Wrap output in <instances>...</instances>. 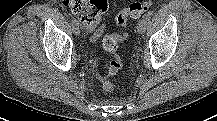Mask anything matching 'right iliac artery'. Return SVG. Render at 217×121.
<instances>
[{
  "instance_id": "obj_1",
  "label": "right iliac artery",
  "mask_w": 217,
  "mask_h": 121,
  "mask_svg": "<svg viewBox=\"0 0 217 121\" xmlns=\"http://www.w3.org/2000/svg\"><path fill=\"white\" fill-rule=\"evenodd\" d=\"M72 25H77L78 24V22L75 20V19H72Z\"/></svg>"
}]
</instances>
